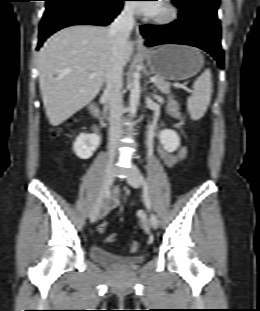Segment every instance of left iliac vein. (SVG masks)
I'll return each instance as SVG.
<instances>
[{
  "instance_id": "4c4485c4",
  "label": "left iliac vein",
  "mask_w": 260,
  "mask_h": 311,
  "mask_svg": "<svg viewBox=\"0 0 260 311\" xmlns=\"http://www.w3.org/2000/svg\"><path fill=\"white\" fill-rule=\"evenodd\" d=\"M127 181L133 188L140 187L141 181H140L138 170L135 167H132L131 172L129 173V176L127 178ZM149 224L153 229L158 228L159 221H158L157 216L154 213L150 214Z\"/></svg>"
}]
</instances>
